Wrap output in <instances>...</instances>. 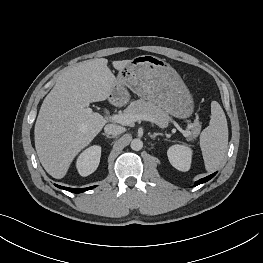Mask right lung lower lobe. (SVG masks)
Listing matches in <instances>:
<instances>
[{
	"label": "right lung lower lobe",
	"instance_id": "1",
	"mask_svg": "<svg viewBox=\"0 0 263 263\" xmlns=\"http://www.w3.org/2000/svg\"><path fill=\"white\" fill-rule=\"evenodd\" d=\"M56 186L58 188H60V189L67 190V191L72 192V193H81V192L90 190V189L95 187V186H92V187H88V188L75 189V188L62 187V186H59V185H56Z\"/></svg>",
	"mask_w": 263,
	"mask_h": 263
}]
</instances>
